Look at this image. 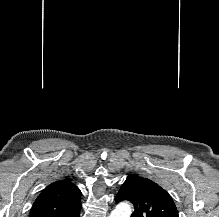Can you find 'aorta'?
<instances>
[{
  "label": "aorta",
  "instance_id": "1",
  "mask_svg": "<svg viewBox=\"0 0 219 217\" xmlns=\"http://www.w3.org/2000/svg\"><path fill=\"white\" fill-rule=\"evenodd\" d=\"M131 213V204H129L128 202H122L115 207L109 217H130Z\"/></svg>",
  "mask_w": 219,
  "mask_h": 217
}]
</instances>
